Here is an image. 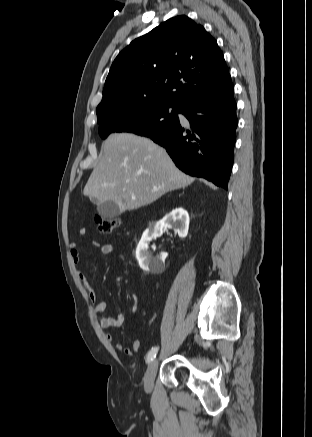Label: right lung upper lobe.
Masks as SVG:
<instances>
[{
    "instance_id": "cb5924a9",
    "label": "right lung upper lobe",
    "mask_w": 312,
    "mask_h": 437,
    "mask_svg": "<svg viewBox=\"0 0 312 437\" xmlns=\"http://www.w3.org/2000/svg\"><path fill=\"white\" fill-rule=\"evenodd\" d=\"M216 40L190 18L173 17L130 43L114 60L97 107L100 119L123 106H183L229 77Z\"/></svg>"
}]
</instances>
